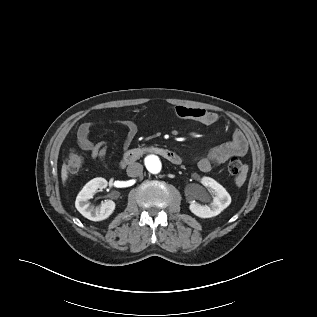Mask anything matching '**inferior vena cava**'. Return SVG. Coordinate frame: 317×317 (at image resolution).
Wrapping results in <instances>:
<instances>
[{"mask_svg":"<svg viewBox=\"0 0 317 317\" xmlns=\"http://www.w3.org/2000/svg\"><path fill=\"white\" fill-rule=\"evenodd\" d=\"M127 175L129 177H135L142 174L143 166L140 163H132L127 167Z\"/></svg>","mask_w":317,"mask_h":317,"instance_id":"1","label":"inferior vena cava"}]
</instances>
